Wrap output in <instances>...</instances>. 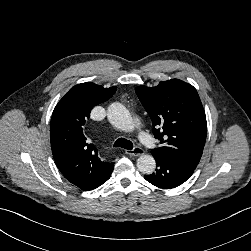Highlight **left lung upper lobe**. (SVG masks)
<instances>
[{
    "instance_id": "1",
    "label": "left lung upper lobe",
    "mask_w": 251,
    "mask_h": 251,
    "mask_svg": "<svg viewBox=\"0 0 251 251\" xmlns=\"http://www.w3.org/2000/svg\"><path fill=\"white\" fill-rule=\"evenodd\" d=\"M135 91L151 118L154 137L163 144L152 152L195 169L207 134L206 115L196 89L171 79L155 87L141 85Z\"/></svg>"
}]
</instances>
